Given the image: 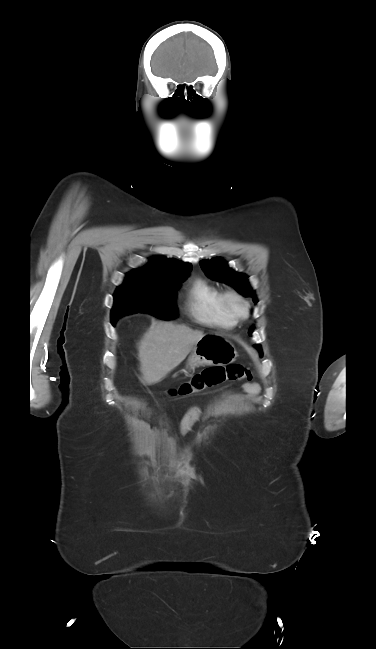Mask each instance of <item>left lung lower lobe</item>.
<instances>
[{"instance_id": "left-lung-lower-lobe-1", "label": "left lung lower lobe", "mask_w": 376, "mask_h": 649, "mask_svg": "<svg viewBox=\"0 0 376 649\" xmlns=\"http://www.w3.org/2000/svg\"><path fill=\"white\" fill-rule=\"evenodd\" d=\"M255 347L258 349V351H259L260 353H262V350H261V346H260V345H256Z\"/></svg>"}]
</instances>
